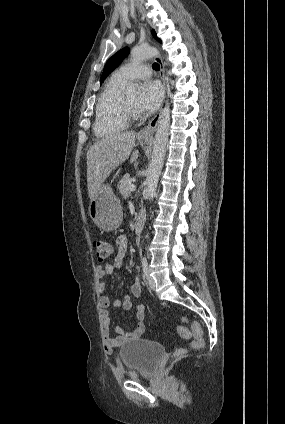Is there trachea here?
Wrapping results in <instances>:
<instances>
[{"instance_id": "3493384b", "label": "trachea", "mask_w": 285, "mask_h": 424, "mask_svg": "<svg viewBox=\"0 0 285 424\" xmlns=\"http://www.w3.org/2000/svg\"><path fill=\"white\" fill-rule=\"evenodd\" d=\"M152 67H153V69H154V70H156V71H159V69H160V67H159V64H158V63H153Z\"/></svg>"}]
</instances>
